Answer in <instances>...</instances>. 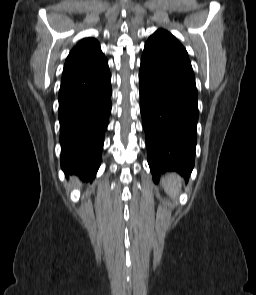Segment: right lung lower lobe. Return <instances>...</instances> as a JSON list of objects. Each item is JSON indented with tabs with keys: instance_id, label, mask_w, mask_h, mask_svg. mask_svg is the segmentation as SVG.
<instances>
[{
	"instance_id": "right-lung-lower-lobe-1",
	"label": "right lung lower lobe",
	"mask_w": 256,
	"mask_h": 295,
	"mask_svg": "<svg viewBox=\"0 0 256 295\" xmlns=\"http://www.w3.org/2000/svg\"><path fill=\"white\" fill-rule=\"evenodd\" d=\"M61 168L92 180L101 163L111 111V75L106 58L63 72L58 95Z\"/></svg>"
}]
</instances>
